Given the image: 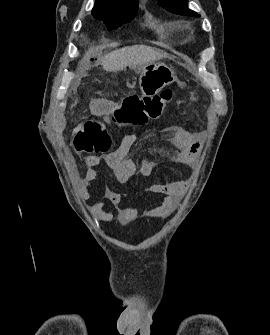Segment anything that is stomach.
I'll return each instance as SVG.
<instances>
[{
	"label": "stomach",
	"instance_id": "obj_1",
	"mask_svg": "<svg viewBox=\"0 0 270 335\" xmlns=\"http://www.w3.org/2000/svg\"><path fill=\"white\" fill-rule=\"evenodd\" d=\"M175 80L176 76L168 66H165L162 62H157V64L149 62L141 68L139 88L143 98H153L163 86L172 84Z\"/></svg>",
	"mask_w": 270,
	"mask_h": 335
}]
</instances>
